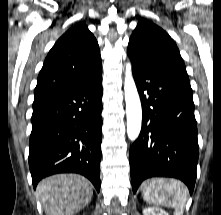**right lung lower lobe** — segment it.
<instances>
[{"instance_id":"right-lung-lower-lobe-1","label":"right lung lower lobe","mask_w":221,"mask_h":215,"mask_svg":"<svg viewBox=\"0 0 221 215\" xmlns=\"http://www.w3.org/2000/svg\"><path fill=\"white\" fill-rule=\"evenodd\" d=\"M102 73L33 105L29 167L33 187L56 173H79L100 191Z\"/></svg>"}]
</instances>
